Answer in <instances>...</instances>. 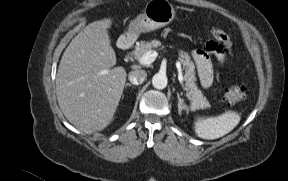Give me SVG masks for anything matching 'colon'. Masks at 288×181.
Returning <instances> with one entry per match:
<instances>
[{"instance_id": "1", "label": "colon", "mask_w": 288, "mask_h": 181, "mask_svg": "<svg viewBox=\"0 0 288 181\" xmlns=\"http://www.w3.org/2000/svg\"><path fill=\"white\" fill-rule=\"evenodd\" d=\"M214 41L210 43L211 48L216 51L224 52L231 49V41L227 33L220 29L215 28L212 30ZM243 96V90L240 87H230L224 91L222 102L225 105H231Z\"/></svg>"}]
</instances>
